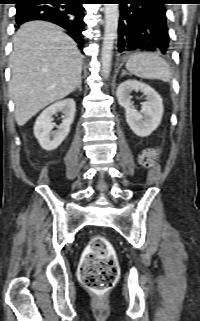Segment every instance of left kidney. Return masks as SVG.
Here are the masks:
<instances>
[{
  "instance_id": "left-kidney-1",
  "label": "left kidney",
  "mask_w": 200,
  "mask_h": 321,
  "mask_svg": "<svg viewBox=\"0 0 200 321\" xmlns=\"http://www.w3.org/2000/svg\"><path fill=\"white\" fill-rule=\"evenodd\" d=\"M133 90L146 96L140 112L132 106L130 93ZM117 99L125 109L126 122L137 136L147 137L160 125L164 112L162 98L149 85L136 80L124 81L118 86Z\"/></svg>"
}]
</instances>
